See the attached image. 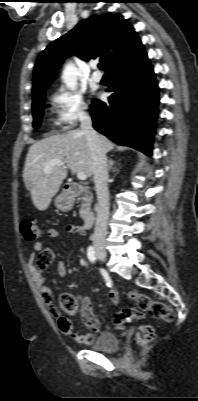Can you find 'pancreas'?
<instances>
[{"mask_svg": "<svg viewBox=\"0 0 198 401\" xmlns=\"http://www.w3.org/2000/svg\"><path fill=\"white\" fill-rule=\"evenodd\" d=\"M81 202L80 217L84 219L86 217V214L90 211L92 195L90 193L84 194V196L81 198Z\"/></svg>", "mask_w": 198, "mask_h": 401, "instance_id": "cf45deb5", "label": "pancreas"}]
</instances>
